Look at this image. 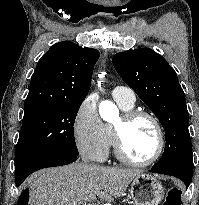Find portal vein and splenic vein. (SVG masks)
<instances>
[{"label":"portal vein and splenic vein","instance_id":"1","mask_svg":"<svg viewBox=\"0 0 199 205\" xmlns=\"http://www.w3.org/2000/svg\"><path fill=\"white\" fill-rule=\"evenodd\" d=\"M90 199H91V200H96V196H95V195H91V196H90ZM82 205H86V204H82Z\"/></svg>","mask_w":199,"mask_h":205}]
</instances>
